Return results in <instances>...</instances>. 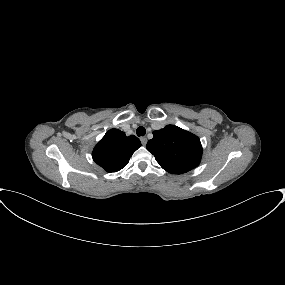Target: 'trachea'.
<instances>
[{"label":"trachea","mask_w":285,"mask_h":285,"mask_svg":"<svg viewBox=\"0 0 285 285\" xmlns=\"http://www.w3.org/2000/svg\"><path fill=\"white\" fill-rule=\"evenodd\" d=\"M137 136H144L146 134V129L143 126H140L136 130Z\"/></svg>","instance_id":"trachea-1"}]
</instances>
